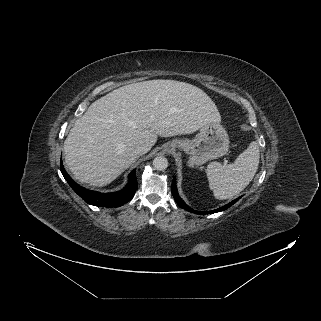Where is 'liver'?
Masks as SVG:
<instances>
[{"label": "liver", "instance_id": "6515ba94", "mask_svg": "<svg viewBox=\"0 0 321 321\" xmlns=\"http://www.w3.org/2000/svg\"><path fill=\"white\" fill-rule=\"evenodd\" d=\"M221 116L200 88L175 80L122 86L93 102L64 142L65 162L74 177L105 186L139 157L138 144L151 149L158 136L190 134Z\"/></svg>", "mask_w": 321, "mask_h": 321}]
</instances>
